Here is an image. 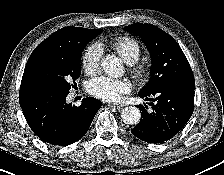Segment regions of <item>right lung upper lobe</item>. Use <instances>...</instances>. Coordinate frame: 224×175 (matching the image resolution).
I'll return each instance as SVG.
<instances>
[{"mask_svg":"<svg viewBox=\"0 0 224 175\" xmlns=\"http://www.w3.org/2000/svg\"><path fill=\"white\" fill-rule=\"evenodd\" d=\"M102 32L99 29H86L81 27H64L41 42L35 50L68 48L88 36H97Z\"/></svg>","mask_w":224,"mask_h":175,"instance_id":"obj_1","label":"right lung upper lobe"}]
</instances>
